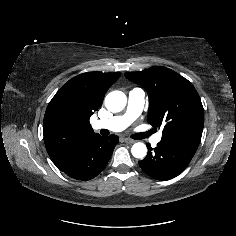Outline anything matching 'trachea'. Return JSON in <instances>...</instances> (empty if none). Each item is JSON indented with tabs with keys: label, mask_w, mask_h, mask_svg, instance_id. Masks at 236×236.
<instances>
[{
	"label": "trachea",
	"mask_w": 236,
	"mask_h": 236,
	"mask_svg": "<svg viewBox=\"0 0 236 236\" xmlns=\"http://www.w3.org/2000/svg\"><path fill=\"white\" fill-rule=\"evenodd\" d=\"M153 133H154L153 130H150V131L144 132V133H137V134H134V135L132 136V138H133V139L140 140V139H144V138L150 136V135L153 134Z\"/></svg>",
	"instance_id": "obj_1"
}]
</instances>
